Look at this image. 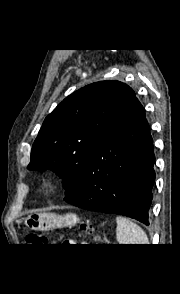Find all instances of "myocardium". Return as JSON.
<instances>
[{
  "mask_svg": "<svg viewBox=\"0 0 180 294\" xmlns=\"http://www.w3.org/2000/svg\"><path fill=\"white\" fill-rule=\"evenodd\" d=\"M40 185L43 189H50L55 185V180L51 177H44Z\"/></svg>",
  "mask_w": 180,
  "mask_h": 294,
  "instance_id": "f54148a6",
  "label": "myocardium"
}]
</instances>
